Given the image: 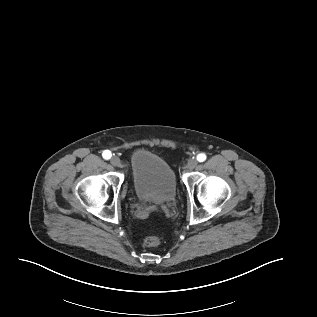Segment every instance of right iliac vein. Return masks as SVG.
<instances>
[{"instance_id":"obj_1","label":"right iliac vein","mask_w":317,"mask_h":317,"mask_svg":"<svg viewBox=\"0 0 317 317\" xmlns=\"http://www.w3.org/2000/svg\"><path fill=\"white\" fill-rule=\"evenodd\" d=\"M111 164L115 167H119L121 162H120V159L116 156H113L110 160Z\"/></svg>"}]
</instances>
